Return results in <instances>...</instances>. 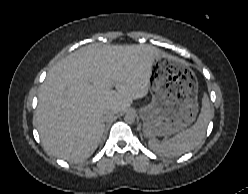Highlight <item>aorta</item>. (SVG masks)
Masks as SVG:
<instances>
[{"mask_svg": "<svg viewBox=\"0 0 248 194\" xmlns=\"http://www.w3.org/2000/svg\"><path fill=\"white\" fill-rule=\"evenodd\" d=\"M135 118H136L135 114L127 113L124 117V120H125V122L132 124L135 122Z\"/></svg>", "mask_w": 248, "mask_h": 194, "instance_id": "aorta-1", "label": "aorta"}]
</instances>
